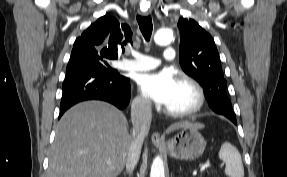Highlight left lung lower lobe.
Listing matches in <instances>:
<instances>
[{
	"label": "left lung lower lobe",
	"instance_id": "obj_1",
	"mask_svg": "<svg viewBox=\"0 0 287 177\" xmlns=\"http://www.w3.org/2000/svg\"><path fill=\"white\" fill-rule=\"evenodd\" d=\"M220 103H221L220 99H217V100L214 102L215 105H219ZM211 108L213 109L214 112L226 116V117L229 118L233 123L237 124L235 116L226 114L222 109H221V110H220V109H217V106H212Z\"/></svg>",
	"mask_w": 287,
	"mask_h": 177
}]
</instances>
